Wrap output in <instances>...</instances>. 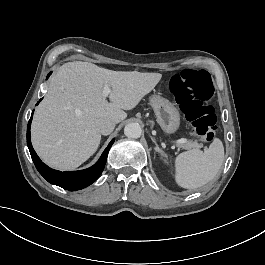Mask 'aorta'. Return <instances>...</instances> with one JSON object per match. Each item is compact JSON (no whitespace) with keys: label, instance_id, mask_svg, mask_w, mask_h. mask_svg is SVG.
Segmentation results:
<instances>
[{"label":"aorta","instance_id":"762f6f07","mask_svg":"<svg viewBox=\"0 0 265 265\" xmlns=\"http://www.w3.org/2000/svg\"><path fill=\"white\" fill-rule=\"evenodd\" d=\"M142 129L138 123H129L124 128V134L129 138H139Z\"/></svg>","mask_w":265,"mask_h":265}]
</instances>
